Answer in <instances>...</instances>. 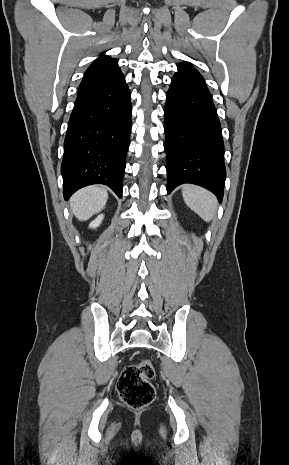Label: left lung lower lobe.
I'll return each instance as SVG.
<instances>
[{
  "label": "left lung lower lobe",
  "mask_w": 289,
  "mask_h": 465,
  "mask_svg": "<svg viewBox=\"0 0 289 465\" xmlns=\"http://www.w3.org/2000/svg\"><path fill=\"white\" fill-rule=\"evenodd\" d=\"M164 114L167 192L192 183L213 192L221 203L226 178L221 126L205 81L193 67L178 65Z\"/></svg>",
  "instance_id": "left-lung-lower-lobe-1"
}]
</instances>
